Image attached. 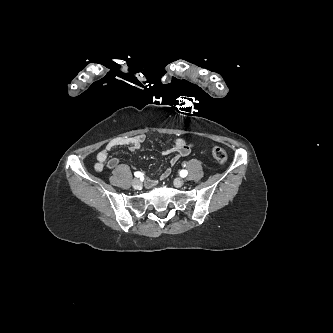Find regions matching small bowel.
<instances>
[{
    "label": "small bowel",
    "instance_id": "c3829d8e",
    "mask_svg": "<svg viewBox=\"0 0 333 333\" xmlns=\"http://www.w3.org/2000/svg\"><path fill=\"white\" fill-rule=\"evenodd\" d=\"M146 137L144 135H137L133 137H117L112 139L103 149H101L96 155L95 170L100 172L105 167L109 169H115L119 166L120 161L117 157L109 158V152L117 147L126 146L132 152H137L142 144L145 142ZM191 144L182 138H177L173 145L163 151L164 155L173 154L170 160V165L174 166L178 163L180 157L186 156L191 151ZM170 168H166L161 173V179H166L170 175ZM157 182L153 179L149 180L148 187H156Z\"/></svg>",
    "mask_w": 333,
    "mask_h": 333
}]
</instances>
